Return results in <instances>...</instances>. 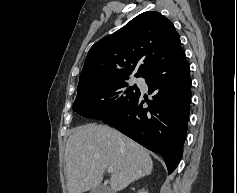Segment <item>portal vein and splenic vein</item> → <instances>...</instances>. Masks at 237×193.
Masks as SVG:
<instances>
[{
  "label": "portal vein and splenic vein",
  "mask_w": 237,
  "mask_h": 193,
  "mask_svg": "<svg viewBox=\"0 0 237 193\" xmlns=\"http://www.w3.org/2000/svg\"><path fill=\"white\" fill-rule=\"evenodd\" d=\"M108 172H109V173H113V168L109 167V168H108Z\"/></svg>",
  "instance_id": "18ae733b"
}]
</instances>
